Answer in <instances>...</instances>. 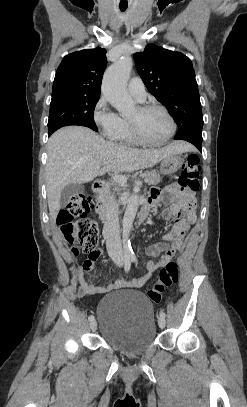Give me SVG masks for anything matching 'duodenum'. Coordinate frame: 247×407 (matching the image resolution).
Segmentation results:
<instances>
[{
    "label": "duodenum",
    "mask_w": 247,
    "mask_h": 407,
    "mask_svg": "<svg viewBox=\"0 0 247 407\" xmlns=\"http://www.w3.org/2000/svg\"><path fill=\"white\" fill-rule=\"evenodd\" d=\"M93 192L95 195L99 196L103 190L107 187V181L103 178L96 179L93 182ZM150 204L147 201H143L139 214H138V220L137 222L141 224L146 220L148 217L149 211H150ZM95 212L99 216V218L107 222L110 218V209L109 207L101 200H97L96 207H95Z\"/></svg>",
    "instance_id": "obj_1"
}]
</instances>
